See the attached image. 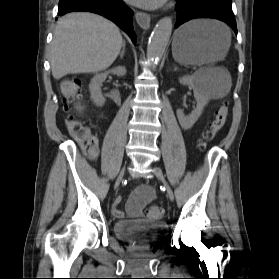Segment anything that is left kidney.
Segmentation results:
<instances>
[{
	"label": "left kidney",
	"mask_w": 279,
	"mask_h": 279,
	"mask_svg": "<svg viewBox=\"0 0 279 279\" xmlns=\"http://www.w3.org/2000/svg\"><path fill=\"white\" fill-rule=\"evenodd\" d=\"M183 85H190L194 91V97L197 102L196 108L189 115H185L181 109L177 110V117L181 127L189 130L201 116L204 107L208 104L209 98L205 96L200 89V83L196 76H183L179 79Z\"/></svg>",
	"instance_id": "5707ae66"
}]
</instances>
